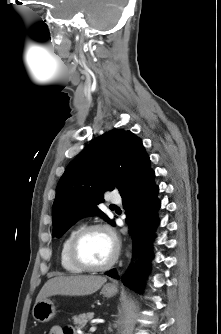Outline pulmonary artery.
<instances>
[{
  "mask_svg": "<svg viewBox=\"0 0 221 334\" xmlns=\"http://www.w3.org/2000/svg\"><path fill=\"white\" fill-rule=\"evenodd\" d=\"M108 200L112 203H119L120 202V198H118V197H109Z\"/></svg>",
  "mask_w": 221,
  "mask_h": 334,
  "instance_id": "pulmonary-artery-1",
  "label": "pulmonary artery"
}]
</instances>
